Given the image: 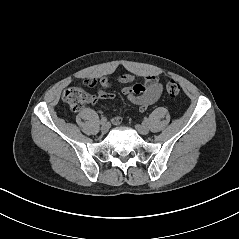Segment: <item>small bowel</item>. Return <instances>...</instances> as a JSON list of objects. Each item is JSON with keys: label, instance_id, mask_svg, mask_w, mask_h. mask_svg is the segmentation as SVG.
I'll use <instances>...</instances> for the list:
<instances>
[{"label": "small bowel", "instance_id": "obj_1", "mask_svg": "<svg viewBox=\"0 0 239 239\" xmlns=\"http://www.w3.org/2000/svg\"><path fill=\"white\" fill-rule=\"evenodd\" d=\"M117 80L122 83H130L135 80V76L132 74H122L118 76ZM91 81L94 84L97 80L94 78H88L85 80V84L89 85ZM100 85L104 88L98 92V98L103 100H111L115 98V94L107 91L106 89L110 87L111 82L108 78L103 77L99 80ZM163 91V84L156 75H147L142 83H136L131 86L124 87L122 93L127 97V99L138 106V111L140 113L145 112L150 105L155 103L160 97ZM89 100H92L90 97ZM122 122L120 116H115L113 118V123L118 125Z\"/></svg>", "mask_w": 239, "mask_h": 239}]
</instances>
